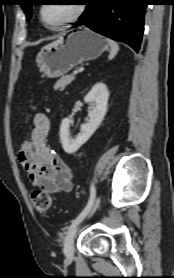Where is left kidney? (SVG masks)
Returning a JSON list of instances; mask_svg holds the SVG:
<instances>
[{
    "mask_svg": "<svg viewBox=\"0 0 174 278\" xmlns=\"http://www.w3.org/2000/svg\"><path fill=\"white\" fill-rule=\"evenodd\" d=\"M108 98L109 92L104 83L99 82L92 87L84 98L85 103L89 104V121L81 126L80 133L75 139L71 138L69 132L71 119L65 118L62 120L60 139L66 153L73 154L76 152L94 134L107 112Z\"/></svg>",
    "mask_w": 174,
    "mask_h": 278,
    "instance_id": "5707ae66",
    "label": "left kidney"
}]
</instances>
